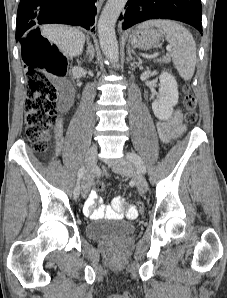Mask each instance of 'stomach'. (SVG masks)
<instances>
[{
  "label": "stomach",
  "mask_w": 227,
  "mask_h": 298,
  "mask_svg": "<svg viewBox=\"0 0 227 298\" xmlns=\"http://www.w3.org/2000/svg\"><path fill=\"white\" fill-rule=\"evenodd\" d=\"M162 34L149 27H139L138 29L132 31L129 35V42L142 50H149L161 41Z\"/></svg>",
  "instance_id": "0dacf381"
}]
</instances>
